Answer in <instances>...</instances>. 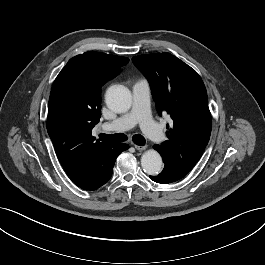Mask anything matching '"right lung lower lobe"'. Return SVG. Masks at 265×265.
Instances as JSON below:
<instances>
[{
    "label": "right lung lower lobe",
    "instance_id": "obj_1",
    "mask_svg": "<svg viewBox=\"0 0 265 265\" xmlns=\"http://www.w3.org/2000/svg\"><path fill=\"white\" fill-rule=\"evenodd\" d=\"M128 149L127 144H112L96 151L79 169L68 174L84 190H95L112 176L118 155Z\"/></svg>",
    "mask_w": 265,
    "mask_h": 265
}]
</instances>
